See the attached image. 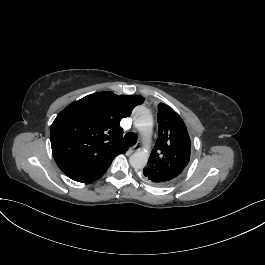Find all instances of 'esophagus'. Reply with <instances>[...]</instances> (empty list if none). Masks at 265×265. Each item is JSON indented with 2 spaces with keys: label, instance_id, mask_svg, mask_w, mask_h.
I'll return each mask as SVG.
<instances>
[{
  "label": "esophagus",
  "instance_id": "1",
  "mask_svg": "<svg viewBox=\"0 0 265 265\" xmlns=\"http://www.w3.org/2000/svg\"><path fill=\"white\" fill-rule=\"evenodd\" d=\"M134 151H139L142 149V144L140 142H138L134 147H133Z\"/></svg>",
  "mask_w": 265,
  "mask_h": 265
}]
</instances>
